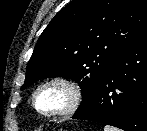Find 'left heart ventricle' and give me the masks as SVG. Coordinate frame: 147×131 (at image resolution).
I'll return each instance as SVG.
<instances>
[{
    "mask_svg": "<svg viewBox=\"0 0 147 131\" xmlns=\"http://www.w3.org/2000/svg\"><path fill=\"white\" fill-rule=\"evenodd\" d=\"M68 93L61 86H48L40 91L36 98L37 107L43 112L63 109L68 103Z\"/></svg>",
    "mask_w": 147,
    "mask_h": 131,
    "instance_id": "left-heart-ventricle-1",
    "label": "left heart ventricle"
}]
</instances>
